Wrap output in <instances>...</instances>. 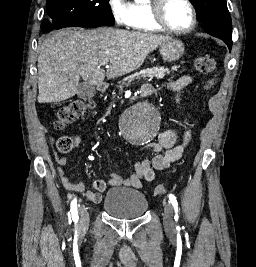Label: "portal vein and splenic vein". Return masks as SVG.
<instances>
[{
  "instance_id": "18ae733b",
  "label": "portal vein and splenic vein",
  "mask_w": 256,
  "mask_h": 267,
  "mask_svg": "<svg viewBox=\"0 0 256 267\" xmlns=\"http://www.w3.org/2000/svg\"><path fill=\"white\" fill-rule=\"evenodd\" d=\"M101 66H108V62H103V64H101Z\"/></svg>"
}]
</instances>
